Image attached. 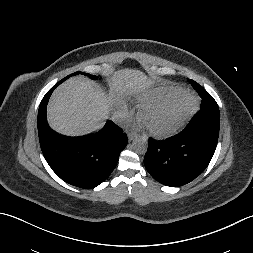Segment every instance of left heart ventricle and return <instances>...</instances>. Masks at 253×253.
Returning <instances> with one entry per match:
<instances>
[{
  "label": "left heart ventricle",
  "mask_w": 253,
  "mask_h": 253,
  "mask_svg": "<svg viewBox=\"0 0 253 253\" xmlns=\"http://www.w3.org/2000/svg\"><path fill=\"white\" fill-rule=\"evenodd\" d=\"M186 103L179 100L176 103L150 113L146 118V124L156 130L170 128L178 119Z\"/></svg>",
  "instance_id": "obj_1"
}]
</instances>
